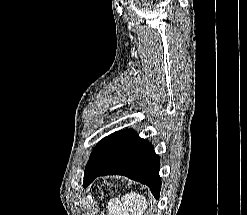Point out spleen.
<instances>
[{
    "label": "spleen",
    "mask_w": 247,
    "mask_h": 215,
    "mask_svg": "<svg viewBox=\"0 0 247 215\" xmlns=\"http://www.w3.org/2000/svg\"><path fill=\"white\" fill-rule=\"evenodd\" d=\"M147 204L144 196L135 192L127 193L121 201L118 198L109 201V215H143ZM145 215L147 214L145 213Z\"/></svg>",
    "instance_id": "3e777b00"
}]
</instances>
